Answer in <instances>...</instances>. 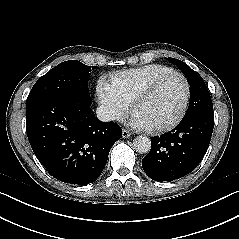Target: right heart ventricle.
<instances>
[{"label":"right heart ventricle","mask_w":239,"mask_h":239,"mask_svg":"<svg viewBox=\"0 0 239 239\" xmlns=\"http://www.w3.org/2000/svg\"><path fill=\"white\" fill-rule=\"evenodd\" d=\"M172 70L159 64H148L138 68L112 74L111 84L114 90L128 104H131L136 94L157 76Z\"/></svg>","instance_id":"e07e8e85"}]
</instances>
